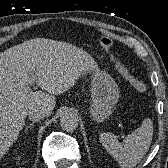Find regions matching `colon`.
I'll return each mask as SVG.
<instances>
[{
	"label": "colon",
	"instance_id": "colon-1",
	"mask_svg": "<svg viewBox=\"0 0 168 168\" xmlns=\"http://www.w3.org/2000/svg\"><path fill=\"white\" fill-rule=\"evenodd\" d=\"M99 44L105 53L108 55L110 60L114 63L115 67L120 71V73L131 83V85L138 92H145L147 89L146 83L138 78L134 72L129 69L125 64H123L112 51L113 40L109 36H102L99 38Z\"/></svg>",
	"mask_w": 168,
	"mask_h": 168
}]
</instances>
